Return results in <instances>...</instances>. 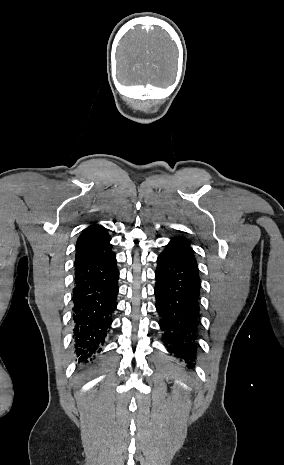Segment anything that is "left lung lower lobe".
Segmentation results:
<instances>
[{
  "instance_id": "0a47b994",
  "label": "left lung lower lobe",
  "mask_w": 284,
  "mask_h": 465,
  "mask_svg": "<svg viewBox=\"0 0 284 465\" xmlns=\"http://www.w3.org/2000/svg\"><path fill=\"white\" fill-rule=\"evenodd\" d=\"M158 256L155 271L156 309L171 353L192 362L200 327V278L194 252L183 238H173Z\"/></svg>"
}]
</instances>
